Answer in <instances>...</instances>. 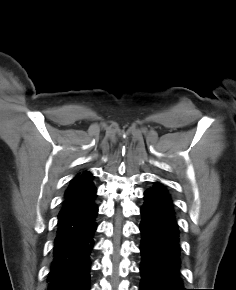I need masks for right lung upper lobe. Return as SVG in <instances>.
<instances>
[{
    "label": "right lung upper lobe",
    "instance_id": "obj_1",
    "mask_svg": "<svg viewBox=\"0 0 236 290\" xmlns=\"http://www.w3.org/2000/svg\"><path fill=\"white\" fill-rule=\"evenodd\" d=\"M92 174L83 172L74 177L65 192V200L59 214L80 208L90 202L96 195V188L92 184Z\"/></svg>",
    "mask_w": 236,
    "mask_h": 290
}]
</instances>
